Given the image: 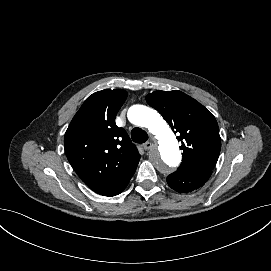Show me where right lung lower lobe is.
Wrapping results in <instances>:
<instances>
[{
	"label": "right lung lower lobe",
	"mask_w": 271,
	"mask_h": 271,
	"mask_svg": "<svg viewBox=\"0 0 271 271\" xmlns=\"http://www.w3.org/2000/svg\"><path fill=\"white\" fill-rule=\"evenodd\" d=\"M134 172L132 173V175L130 177L127 178V180L121 186H119V187L111 190L110 192L104 194V196H115V195L121 193L126 188V186L128 185V183H129L130 179L132 178Z\"/></svg>",
	"instance_id": "1"
}]
</instances>
